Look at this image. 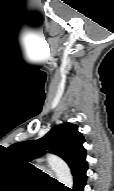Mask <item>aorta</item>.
Wrapping results in <instances>:
<instances>
[{
  "label": "aorta",
  "mask_w": 114,
  "mask_h": 191,
  "mask_svg": "<svg viewBox=\"0 0 114 191\" xmlns=\"http://www.w3.org/2000/svg\"><path fill=\"white\" fill-rule=\"evenodd\" d=\"M49 166L54 170L57 180L68 188L73 186V177L68 165L58 156L49 154L47 155Z\"/></svg>",
  "instance_id": "obj_1"
}]
</instances>
